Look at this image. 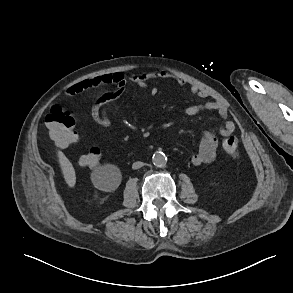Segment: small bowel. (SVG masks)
<instances>
[{"label": "small bowel", "mask_w": 293, "mask_h": 293, "mask_svg": "<svg viewBox=\"0 0 293 293\" xmlns=\"http://www.w3.org/2000/svg\"><path fill=\"white\" fill-rule=\"evenodd\" d=\"M150 79H173L180 86H186L187 82L180 78L171 75L165 71L150 72L139 75H134L131 81L140 88H146L147 82ZM127 80L121 73H108L104 75L90 77L82 80L77 84L72 85L67 90L69 96H74L82 91L90 88H104L106 89L102 95L95 101L90 110L92 120L101 127H109L112 120L107 112V106L116 101L125 91ZM191 92L202 98L209 97L208 91L198 85H191ZM158 90L151 89V94L156 95ZM204 111H215L222 119L227 117V109L220 102L206 101L198 104H193L185 109V114L189 117L195 116ZM235 124L233 121H226L219 129L221 136H228L235 131ZM218 147V138L211 130H206L202 134L199 150L191 158V162L195 166L209 164L214 161Z\"/></svg>", "instance_id": "obj_1"}]
</instances>
